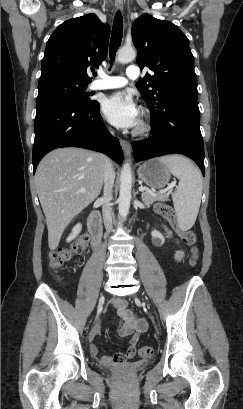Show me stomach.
I'll return each mask as SVG.
<instances>
[{
    "instance_id": "obj_1",
    "label": "stomach",
    "mask_w": 243,
    "mask_h": 409,
    "mask_svg": "<svg viewBox=\"0 0 243 409\" xmlns=\"http://www.w3.org/2000/svg\"><path fill=\"white\" fill-rule=\"evenodd\" d=\"M138 176L150 188H163L170 180V170L159 159H151L138 168Z\"/></svg>"
}]
</instances>
